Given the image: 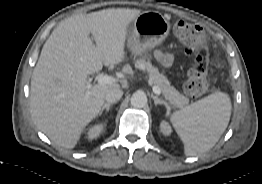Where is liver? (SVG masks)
<instances>
[{
	"instance_id": "liver-1",
	"label": "liver",
	"mask_w": 262,
	"mask_h": 184,
	"mask_svg": "<svg viewBox=\"0 0 262 184\" xmlns=\"http://www.w3.org/2000/svg\"><path fill=\"white\" fill-rule=\"evenodd\" d=\"M137 9H104L71 16L45 42L31 78L30 112L56 145L72 149L101 111L116 82L91 85L88 75L125 59L127 26ZM93 35L95 44L89 37Z\"/></svg>"
}]
</instances>
